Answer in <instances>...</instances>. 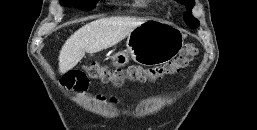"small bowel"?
Here are the masks:
<instances>
[{
	"label": "small bowel",
	"instance_id": "1",
	"mask_svg": "<svg viewBox=\"0 0 257 130\" xmlns=\"http://www.w3.org/2000/svg\"><path fill=\"white\" fill-rule=\"evenodd\" d=\"M99 100H105V98L102 95H98ZM111 102L116 103V99H111Z\"/></svg>",
	"mask_w": 257,
	"mask_h": 130
}]
</instances>
